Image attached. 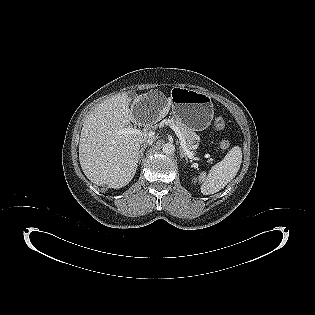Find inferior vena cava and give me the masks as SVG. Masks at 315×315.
Wrapping results in <instances>:
<instances>
[{
    "mask_svg": "<svg viewBox=\"0 0 315 315\" xmlns=\"http://www.w3.org/2000/svg\"><path fill=\"white\" fill-rule=\"evenodd\" d=\"M154 142V140L152 138H144L143 140L140 141V144H143V145H152ZM142 145V146H143Z\"/></svg>",
    "mask_w": 315,
    "mask_h": 315,
    "instance_id": "inferior-vena-cava-1",
    "label": "inferior vena cava"
}]
</instances>
